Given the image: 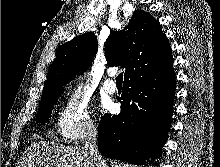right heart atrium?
<instances>
[{
  "mask_svg": "<svg viewBox=\"0 0 220 167\" xmlns=\"http://www.w3.org/2000/svg\"><path fill=\"white\" fill-rule=\"evenodd\" d=\"M58 134L68 143H77L97 131L90 99L80 89L71 90L63 99L56 117Z\"/></svg>",
  "mask_w": 220,
  "mask_h": 167,
  "instance_id": "obj_1",
  "label": "right heart atrium"
}]
</instances>
